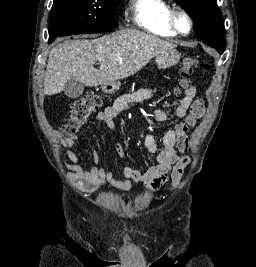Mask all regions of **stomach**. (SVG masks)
I'll list each match as a JSON object with an SVG mask.
<instances>
[{
	"label": "stomach",
	"instance_id": "0dacf381",
	"mask_svg": "<svg viewBox=\"0 0 256 267\" xmlns=\"http://www.w3.org/2000/svg\"><path fill=\"white\" fill-rule=\"evenodd\" d=\"M181 58V54L175 50V48H171V50H166V52H162V54H158L156 56V64L158 68L164 70V68H171V66H175L178 64Z\"/></svg>",
	"mask_w": 256,
	"mask_h": 267
}]
</instances>
